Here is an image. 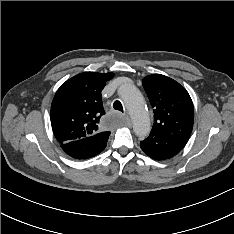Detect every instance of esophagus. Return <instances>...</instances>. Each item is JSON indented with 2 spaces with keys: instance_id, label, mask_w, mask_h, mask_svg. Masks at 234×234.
<instances>
[{
  "instance_id": "34e87169",
  "label": "esophagus",
  "mask_w": 234,
  "mask_h": 234,
  "mask_svg": "<svg viewBox=\"0 0 234 234\" xmlns=\"http://www.w3.org/2000/svg\"><path fill=\"white\" fill-rule=\"evenodd\" d=\"M124 119H125V122L127 125L131 124V120H130V117L128 115H124Z\"/></svg>"
}]
</instances>
